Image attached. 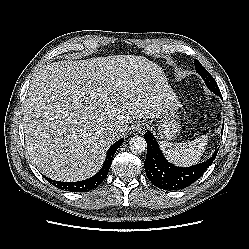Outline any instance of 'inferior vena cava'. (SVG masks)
<instances>
[{
  "mask_svg": "<svg viewBox=\"0 0 249 249\" xmlns=\"http://www.w3.org/2000/svg\"><path fill=\"white\" fill-rule=\"evenodd\" d=\"M123 130L121 128H116L111 131L112 136L116 137L121 134Z\"/></svg>",
  "mask_w": 249,
  "mask_h": 249,
  "instance_id": "obj_1",
  "label": "inferior vena cava"
}]
</instances>
